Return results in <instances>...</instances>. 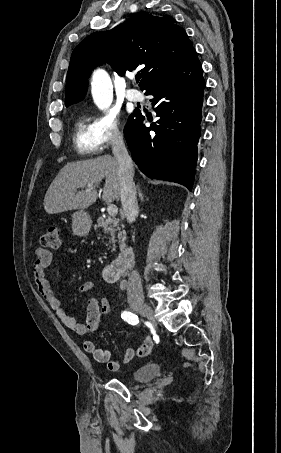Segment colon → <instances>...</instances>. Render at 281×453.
<instances>
[{"instance_id":"colon-1","label":"colon","mask_w":281,"mask_h":453,"mask_svg":"<svg viewBox=\"0 0 281 453\" xmlns=\"http://www.w3.org/2000/svg\"><path fill=\"white\" fill-rule=\"evenodd\" d=\"M60 230V226H48L46 232L40 238L39 245H44L47 251L56 249Z\"/></svg>"}]
</instances>
